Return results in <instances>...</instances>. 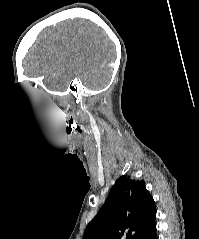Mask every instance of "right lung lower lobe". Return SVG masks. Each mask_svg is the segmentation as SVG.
Wrapping results in <instances>:
<instances>
[{"label":"right lung lower lobe","instance_id":"obj_1","mask_svg":"<svg viewBox=\"0 0 199 239\" xmlns=\"http://www.w3.org/2000/svg\"><path fill=\"white\" fill-rule=\"evenodd\" d=\"M135 239H157L155 218L141 230Z\"/></svg>","mask_w":199,"mask_h":239}]
</instances>
